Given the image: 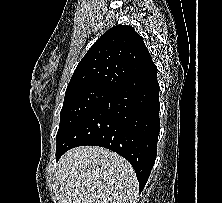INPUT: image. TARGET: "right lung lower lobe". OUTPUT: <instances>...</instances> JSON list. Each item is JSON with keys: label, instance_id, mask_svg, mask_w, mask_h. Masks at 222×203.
Wrapping results in <instances>:
<instances>
[{"label": "right lung lower lobe", "instance_id": "1", "mask_svg": "<svg viewBox=\"0 0 222 203\" xmlns=\"http://www.w3.org/2000/svg\"><path fill=\"white\" fill-rule=\"evenodd\" d=\"M159 108L157 67L153 63L113 90L66 131L57 141L56 160L77 146L105 147L131 163L141 192L156 159Z\"/></svg>", "mask_w": 222, "mask_h": 203}]
</instances>
